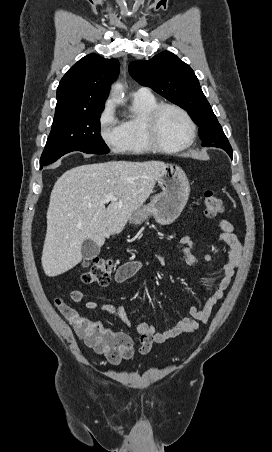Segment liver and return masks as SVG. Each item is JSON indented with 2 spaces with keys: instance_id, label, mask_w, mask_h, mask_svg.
I'll list each match as a JSON object with an SVG mask.
<instances>
[{
  "instance_id": "liver-1",
  "label": "liver",
  "mask_w": 272,
  "mask_h": 452,
  "mask_svg": "<svg viewBox=\"0 0 272 452\" xmlns=\"http://www.w3.org/2000/svg\"><path fill=\"white\" fill-rule=\"evenodd\" d=\"M164 163L160 161H109L74 167L56 181L47 210V232L42 267L58 276L82 260V243L93 240L101 247L105 238L119 234L131 214L153 192ZM118 200L105 207V197Z\"/></svg>"
}]
</instances>
